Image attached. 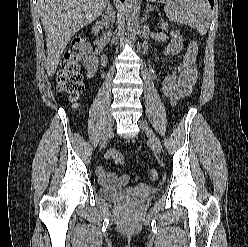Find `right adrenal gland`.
I'll list each match as a JSON object with an SVG mask.
<instances>
[{"label": "right adrenal gland", "mask_w": 248, "mask_h": 247, "mask_svg": "<svg viewBox=\"0 0 248 247\" xmlns=\"http://www.w3.org/2000/svg\"><path fill=\"white\" fill-rule=\"evenodd\" d=\"M102 17L104 18V21L107 22L108 20H111L113 17L112 11H111V5L108 3L105 9V13L102 14Z\"/></svg>", "instance_id": "obj_1"}]
</instances>
